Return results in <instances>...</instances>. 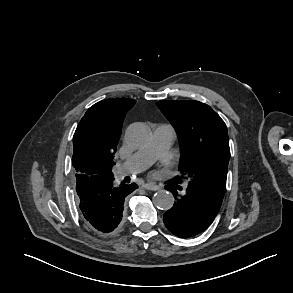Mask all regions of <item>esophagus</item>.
I'll use <instances>...</instances> for the list:
<instances>
[{"label":"esophagus","mask_w":293,"mask_h":293,"mask_svg":"<svg viewBox=\"0 0 293 293\" xmlns=\"http://www.w3.org/2000/svg\"><path fill=\"white\" fill-rule=\"evenodd\" d=\"M142 188L146 190H158L160 187L158 185L152 184V183H146L142 185Z\"/></svg>","instance_id":"esophagus-1"}]
</instances>
